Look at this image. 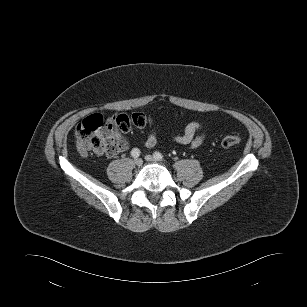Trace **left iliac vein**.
Returning a JSON list of instances; mask_svg holds the SVG:
<instances>
[{"instance_id":"4c4485c4","label":"left iliac vein","mask_w":307,"mask_h":307,"mask_svg":"<svg viewBox=\"0 0 307 307\" xmlns=\"http://www.w3.org/2000/svg\"><path fill=\"white\" fill-rule=\"evenodd\" d=\"M145 159L148 161V162H156L157 159L155 157H153L152 155H147L145 157Z\"/></svg>"}]
</instances>
